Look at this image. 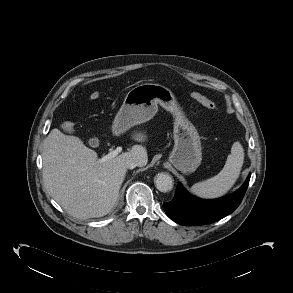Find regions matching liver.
I'll return each mask as SVG.
<instances>
[{
    "instance_id": "6515ba94",
    "label": "liver",
    "mask_w": 293,
    "mask_h": 293,
    "mask_svg": "<svg viewBox=\"0 0 293 293\" xmlns=\"http://www.w3.org/2000/svg\"><path fill=\"white\" fill-rule=\"evenodd\" d=\"M136 141L146 136L138 133ZM43 180L51 197L78 219L102 217L115 206L125 179L127 159L145 166L147 150L134 145L129 152L102 161L76 137L53 129L42 145ZM140 166V167H141Z\"/></svg>"
}]
</instances>
